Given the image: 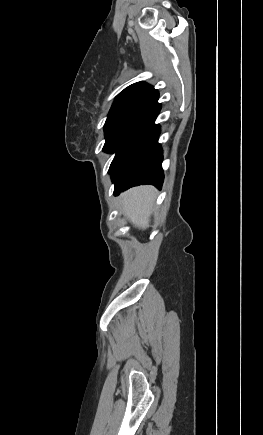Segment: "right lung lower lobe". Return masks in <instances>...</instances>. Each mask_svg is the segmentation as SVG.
I'll return each instance as SVG.
<instances>
[{"label": "right lung lower lobe", "instance_id": "right-lung-lower-lobe-1", "mask_svg": "<svg viewBox=\"0 0 263 435\" xmlns=\"http://www.w3.org/2000/svg\"><path fill=\"white\" fill-rule=\"evenodd\" d=\"M160 109L157 97L143 108L131 124L109 169L115 184V195L141 184L162 187L163 151L158 144L160 127L154 124Z\"/></svg>", "mask_w": 263, "mask_h": 435}]
</instances>
